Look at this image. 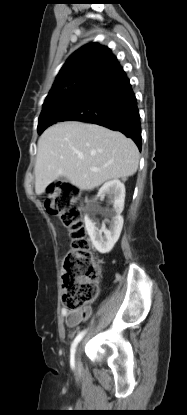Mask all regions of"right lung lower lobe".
<instances>
[{"instance_id":"98d812e1","label":"right lung lower lobe","mask_w":187,"mask_h":415,"mask_svg":"<svg viewBox=\"0 0 187 415\" xmlns=\"http://www.w3.org/2000/svg\"><path fill=\"white\" fill-rule=\"evenodd\" d=\"M82 121L117 130L141 150V125L137 99L118 60L98 69L74 85L50 115V125Z\"/></svg>"}]
</instances>
